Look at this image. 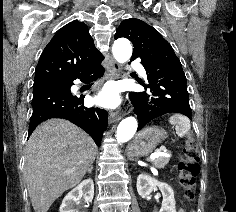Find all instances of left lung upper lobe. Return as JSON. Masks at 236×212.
<instances>
[{
	"mask_svg": "<svg viewBox=\"0 0 236 212\" xmlns=\"http://www.w3.org/2000/svg\"><path fill=\"white\" fill-rule=\"evenodd\" d=\"M119 37H125L133 43L131 59L140 58L144 65L180 63L173 48L161 34L139 19L122 21L115 34V39Z\"/></svg>",
	"mask_w": 236,
	"mask_h": 212,
	"instance_id": "obj_1",
	"label": "left lung upper lobe"
}]
</instances>
